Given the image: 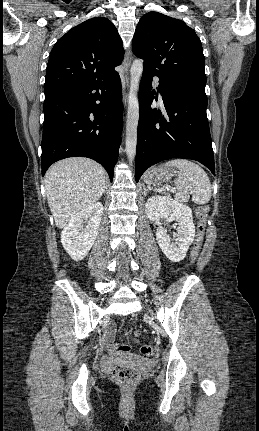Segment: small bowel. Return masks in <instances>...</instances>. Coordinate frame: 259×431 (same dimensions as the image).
Returning a JSON list of instances; mask_svg holds the SVG:
<instances>
[{"label": "small bowel", "instance_id": "small-bowel-1", "mask_svg": "<svg viewBox=\"0 0 259 431\" xmlns=\"http://www.w3.org/2000/svg\"><path fill=\"white\" fill-rule=\"evenodd\" d=\"M112 333H113V330H112V328H110L109 331H108V338H111Z\"/></svg>", "mask_w": 259, "mask_h": 431}]
</instances>
